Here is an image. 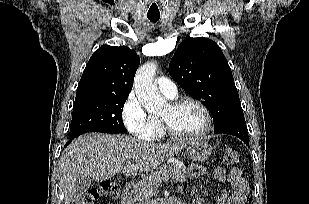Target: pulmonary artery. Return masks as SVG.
Returning a JSON list of instances; mask_svg holds the SVG:
<instances>
[{"label": "pulmonary artery", "mask_w": 309, "mask_h": 204, "mask_svg": "<svg viewBox=\"0 0 309 204\" xmlns=\"http://www.w3.org/2000/svg\"><path fill=\"white\" fill-rule=\"evenodd\" d=\"M156 84L159 91L169 98H174L177 95V87L175 83L166 76H161L156 79Z\"/></svg>", "instance_id": "obj_1"}]
</instances>
